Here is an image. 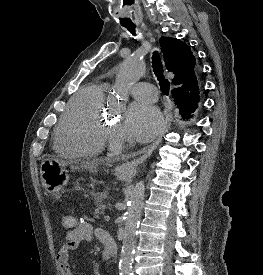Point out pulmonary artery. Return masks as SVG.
Segmentation results:
<instances>
[{
	"label": "pulmonary artery",
	"instance_id": "1",
	"mask_svg": "<svg viewBox=\"0 0 263 275\" xmlns=\"http://www.w3.org/2000/svg\"><path fill=\"white\" fill-rule=\"evenodd\" d=\"M131 95L145 102H155L157 100V90L153 84L138 82L131 86Z\"/></svg>",
	"mask_w": 263,
	"mask_h": 275
}]
</instances>
